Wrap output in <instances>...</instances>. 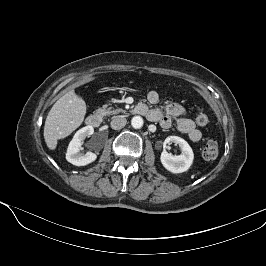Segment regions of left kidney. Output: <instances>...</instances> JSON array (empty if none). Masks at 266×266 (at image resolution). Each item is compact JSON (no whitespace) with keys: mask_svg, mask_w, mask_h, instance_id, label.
<instances>
[{"mask_svg":"<svg viewBox=\"0 0 266 266\" xmlns=\"http://www.w3.org/2000/svg\"><path fill=\"white\" fill-rule=\"evenodd\" d=\"M174 143L181 149V154L176 156L164 150L161 153L160 160L165 169L172 173H182L187 171L193 163L194 153L190 145L178 136H169L164 141V148Z\"/></svg>","mask_w":266,"mask_h":266,"instance_id":"obj_1","label":"left kidney"}]
</instances>
